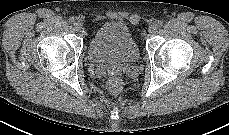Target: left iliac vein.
I'll use <instances>...</instances> for the list:
<instances>
[{"mask_svg": "<svg viewBox=\"0 0 229 135\" xmlns=\"http://www.w3.org/2000/svg\"><path fill=\"white\" fill-rule=\"evenodd\" d=\"M157 30H158V25L155 23L151 24L148 28V32L150 35L155 34L157 32Z\"/></svg>", "mask_w": 229, "mask_h": 135, "instance_id": "left-iliac-vein-1", "label": "left iliac vein"}]
</instances>
